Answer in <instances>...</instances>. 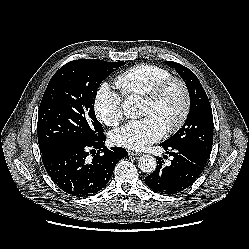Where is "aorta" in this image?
Segmentation results:
<instances>
[{"label":"aorta","instance_id":"obj_1","mask_svg":"<svg viewBox=\"0 0 249 249\" xmlns=\"http://www.w3.org/2000/svg\"><path fill=\"white\" fill-rule=\"evenodd\" d=\"M123 110L126 116H135L138 110L137 101L132 97L128 98L123 104ZM156 166V159L152 155L145 154L138 159V167L144 173H153Z\"/></svg>","mask_w":249,"mask_h":249}]
</instances>
